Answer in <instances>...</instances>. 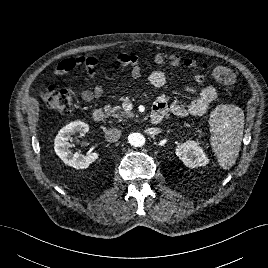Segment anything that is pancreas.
Returning a JSON list of instances; mask_svg holds the SVG:
<instances>
[{
  "label": "pancreas",
  "mask_w": 268,
  "mask_h": 268,
  "mask_svg": "<svg viewBox=\"0 0 268 268\" xmlns=\"http://www.w3.org/2000/svg\"><path fill=\"white\" fill-rule=\"evenodd\" d=\"M120 109L121 108L119 106L112 107L111 105H106L104 107V110L108 116H112L118 120H122L124 117L132 116L131 112L122 111L119 113Z\"/></svg>",
  "instance_id": "cf45deb5"
}]
</instances>
